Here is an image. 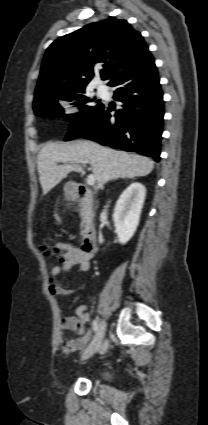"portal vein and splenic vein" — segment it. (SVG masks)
I'll return each mask as SVG.
<instances>
[{
	"instance_id": "1",
	"label": "portal vein and splenic vein",
	"mask_w": 208,
	"mask_h": 425,
	"mask_svg": "<svg viewBox=\"0 0 208 425\" xmlns=\"http://www.w3.org/2000/svg\"><path fill=\"white\" fill-rule=\"evenodd\" d=\"M69 161L74 162V163H80V164H83V165L87 164L86 161H84V160H78V159H73V160H71V159H62L61 160L62 163H66V162H69ZM95 181H96L95 175L94 174H89L88 177H87V184L89 186H93L95 184Z\"/></svg>"
}]
</instances>
